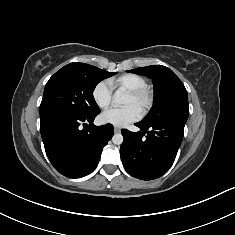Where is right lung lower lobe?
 <instances>
[{"label": "right lung lower lobe", "instance_id": "98d812e1", "mask_svg": "<svg viewBox=\"0 0 235 235\" xmlns=\"http://www.w3.org/2000/svg\"><path fill=\"white\" fill-rule=\"evenodd\" d=\"M99 113L86 117L62 113L40 115V131L46 154L62 175L80 178L97 167L103 147L113 136L111 124H92ZM82 124L85 129H82Z\"/></svg>", "mask_w": 235, "mask_h": 235}]
</instances>
